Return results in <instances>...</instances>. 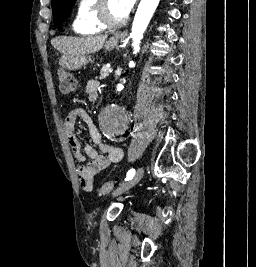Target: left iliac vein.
<instances>
[{
    "instance_id": "1",
    "label": "left iliac vein",
    "mask_w": 256,
    "mask_h": 267,
    "mask_svg": "<svg viewBox=\"0 0 256 267\" xmlns=\"http://www.w3.org/2000/svg\"><path fill=\"white\" fill-rule=\"evenodd\" d=\"M145 170L143 167L138 168L136 174L125 183L121 184L117 189H115L112 193L113 197L119 196L122 193L126 192L127 190L131 189L133 186H135L142 178Z\"/></svg>"
}]
</instances>
